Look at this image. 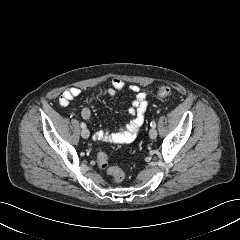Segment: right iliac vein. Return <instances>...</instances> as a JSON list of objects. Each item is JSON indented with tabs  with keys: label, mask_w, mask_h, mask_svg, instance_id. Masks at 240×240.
<instances>
[{
	"label": "right iliac vein",
	"mask_w": 240,
	"mask_h": 240,
	"mask_svg": "<svg viewBox=\"0 0 240 240\" xmlns=\"http://www.w3.org/2000/svg\"><path fill=\"white\" fill-rule=\"evenodd\" d=\"M90 135V132L87 128H84L82 131H81V136L85 139H87Z\"/></svg>",
	"instance_id": "right-iliac-vein-1"
}]
</instances>
